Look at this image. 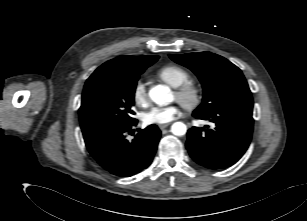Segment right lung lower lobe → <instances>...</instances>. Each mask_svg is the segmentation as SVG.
Wrapping results in <instances>:
<instances>
[{
	"label": "right lung lower lobe",
	"instance_id": "obj_1",
	"mask_svg": "<svg viewBox=\"0 0 307 221\" xmlns=\"http://www.w3.org/2000/svg\"><path fill=\"white\" fill-rule=\"evenodd\" d=\"M136 125L137 120L107 130L85 142L91 156L104 170L118 177H130L150 165L161 132L156 125H150L128 141L126 134Z\"/></svg>",
	"mask_w": 307,
	"mask_h": 221
}]
</instances>
